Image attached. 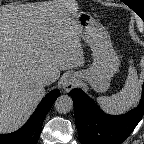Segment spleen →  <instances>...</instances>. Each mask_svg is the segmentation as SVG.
Wrapping results in <instances>:
<instances>
[{
    "mask_svg": "<svg viewBox=\"0 0 144 144\" xmlns=\"http://www.w3.org/2000/svg\"><path fill=\"white\" fill-rule=\"evenodd\" d=\"M141 91V81L137 71L130 66L124 87L112 96L97 98L100 107L109 114H120L137 104Z\"/></svg>",
    "mask_w": 144,
    "mask_h": 144,
    "instance_id": "1",
    "label": "spleen"
}]
</instances>
